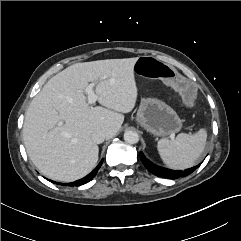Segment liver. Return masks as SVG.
<instances>
[{
    "instance_id": "obj_1",
    "label": "liver",
    "mask_w": 241,
    "mask_h": 241,
    "mask_svg": "<svg viewBox=\"0 0 241 241\" xmlns=\"http://www.w3.org/2000/svg\"><path fill=\"white\" fill-rule=\"evenodd\" d=\"M137 59L76 63L48 80L31 101L23 125L27 154L40 173L72 182L94 169L99 148L92 133L102 130L112 138L123 124V114L136 104L133 68ZM89 82L96 83L102 106L87 102Z\"/></svg>"
}]
</instances>
